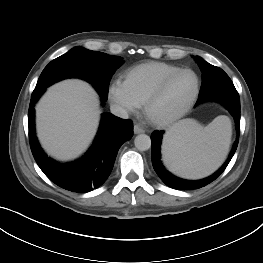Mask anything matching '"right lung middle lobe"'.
<instances>
[{
  "label": "right lung middle lobe",
  "instance_id": "right-lung-middle-lobe-1",
  "mask_svg": "<svg viewBox=\"0 0 263 263\" xmlns=\"http://www.w3.org/2000/svg\"><path fill=\"white\" fill-rule=\"evenodd\" d=\"M122 64V58L119 56L75 47L45 67L33 92L44 91L59 80L78 77L90 82L105 101L110 79Z\"/></svg>",
  "mask_w": 263,
  "mask_h": 263
}]
</instances>
